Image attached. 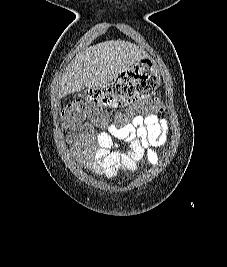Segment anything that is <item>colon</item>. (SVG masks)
Masks as SVG:
<instances>
[{
  "label": "colon",
  "mask_w": 227,
  "mask_h": 267,
  "mask_svg": "<svg viewBox=\"0 0 227 267\" xmlns=\"http://www.w3.org/2000/svg\"><path fill=\"white\" fill-rule=\"evenodd\" d=\"M160 108H162V104L159 100H147L142 105H129V110H123V115H126V119H135V116L160 115ZM64 118L68 126L77 127L86 119L99 124L103 122L102 119H118L121 118V115L107 114L106 110H95L93 112L88 104H84L83 100H78L67 107Z\"/></svg>",
  "instance_id": "1"
}]
</instances>
